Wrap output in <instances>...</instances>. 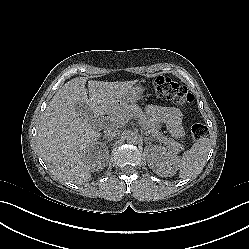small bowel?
Instances as JSON below:
<instances>
[{
    "label": "small bowel",
    "instance_id": "c3829d8e",
    "mask_svg": "<svg viewBox=\"0 0 249 249\" xmlns=\"http://www.w3.org/2000/svg\"><path fill=\"white\" fill-rule=\"evenodd\" d=\"M146 110L153 117L164 122L172 134L176 136L183 135V131L179 123V117L171 108L150 105L146 108Z\"/></svg>",
    "mask_w": 249,
    "mask_h": 249
}]
</instances>
